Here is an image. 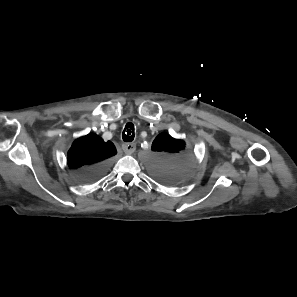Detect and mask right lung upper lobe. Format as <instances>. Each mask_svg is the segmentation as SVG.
Returning a JSON list of instances; mask_svg holds the SVG:
<instances>
[{
    "label": "right lung upper lobe",
    "mask_w": 297,
    "mask_h": 297,
    "mask_svg": "<svg viewBox=\"0 0 297 297\" xmlns=\"http://www.w3.org/2000/svg\"><path fill=\"white\" fill-rule=\"evenodd\" d=\"M116 153L112 142H104L98 135L89 133L74 141L68 152V165L80 172L87 167L107 162V159Z\"/></svg>",
    "instance_id": "right-lung-upper-lobe-1"
}]
</instances>
